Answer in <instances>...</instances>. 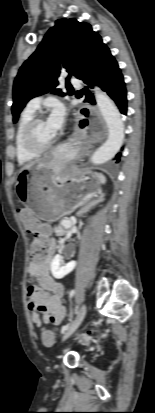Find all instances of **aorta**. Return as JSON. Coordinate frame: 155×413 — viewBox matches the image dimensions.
I'll list each match as a JSON object with an SVG mask.
<instances>
[{
  "instance_id": "obj_1",
  "label": "aorta",
  "mask_w": 155,
  "mask_h": 413,
  "mask_svg": "<svg viewBox=\"0 0 155 413\" xmlns=\"http://www.w3.org/2000/svg\"><path fill=\"white\" fill-rule=\"evenodd\" d=\"M97 107L107 125L108 138L91 156L92 164H103L111 160L122 146L124 140V122L114 102L106 93L95 89Z\"/></svg>"
}]
</instances>
